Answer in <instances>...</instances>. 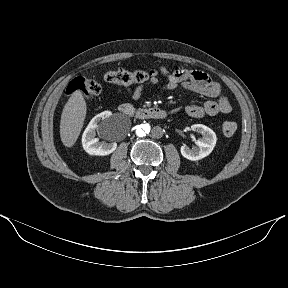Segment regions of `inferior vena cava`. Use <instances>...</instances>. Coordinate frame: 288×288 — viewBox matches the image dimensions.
<instances>
[{"label":"inferior vena cava","mask_w":288,"mask_h":288,"mask_svg":"<svg viewBox=\"0 0 288 288\" xmlns=\"http://www.w3.org/2000/svg\"><path fill=\"white\" fill-rule=\"evenodd\" d=\"M164 135V129L161 126H155L153 127L152 131H151V136L154 139H159L161 137H163Z\"/></svg>","instance_id":"602c4592"}]
</instances>
